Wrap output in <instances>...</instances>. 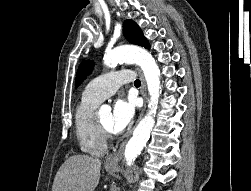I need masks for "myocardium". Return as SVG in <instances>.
Listing matches in <instances>:
<instances>
[{
  "label": "myocardium",
  "mask_w": 251,
  "mask_h": 191,
  "mask_svg": "<svg viewBox=\"0 0 251 191\" xmlns=\"http://www.w3.org/2000/svg\"><path fill=\"white\" fill-rule=\"evenodd\" d=\"M97 124H98L102 134L104 135L105 139H109L112 137L110 130L107 129L106 127H104L100 121H97Z\"/></svg>",
  "instance_id": "f54148a6"
}]
</instances>
